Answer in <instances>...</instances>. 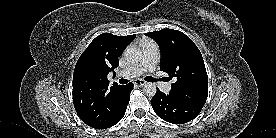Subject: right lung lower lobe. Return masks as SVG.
I'll list each match as a JSON object with an SVG mask.
<instances>
[{
  "instance_id": "1",
  "label": "right lung lower lobe",
  "mask_w": 276,
  "mask_h": 138,
  "mask_svg": "<svg viewBox=\"0 0 276 138\" xmlns=\"http://www.w3.org/2000/svg\"><path fill=\"white\" fill-rule=\"evenodd\" d=\"M133 86L134 85L131 82L126 85H123V87L121 89V94H120V103H119L116 113L114 114L112 120L107 125H105L102 128H99V129H106V128L112 127L123 118V116L125 115V112H126L127 105L130 100V93L133 90ZM96 129H98V128H96Z\"/></svg>"
}]
</instances>
